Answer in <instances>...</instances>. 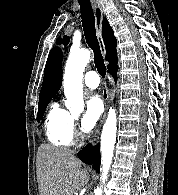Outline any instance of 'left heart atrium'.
<instances>
[{
  "label": "left heart atrium",
  "mask_w": 178,
  "mask_h": 195,
  "mask_svg": "<svg viewBox=\"0 0 178 195\" xmlns=\"http://www.w3.org/2000/svg\"><path fill=\"white\" fill-rule=\"evenodd\" d=\"M103 112V104L99 96L93 95L86 102V109L83 115L81 126L85 132H90L99 121Z\"/></svg>",
  "instance_id": "obj_1"
}]
</instances>
